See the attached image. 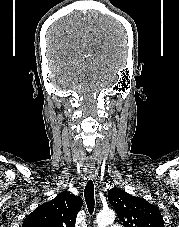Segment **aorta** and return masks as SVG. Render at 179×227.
<instances>
[{
	"label": "aorta",
	"mask_w": 179,
	"mask_h": 227,
	"mask_svg": "<svg viewBox=\"0 0 179 227\" xmlns=\"http://www.w3.org/2000/svg\"><path fill=\"white\" fill-rule=\"evenodd\" d=\"M115 220V213L113 210H103L97 214L96 223L98 227H107Z\"/></svg>",
	"instance_id": "obj_1"
}]
</instances>
